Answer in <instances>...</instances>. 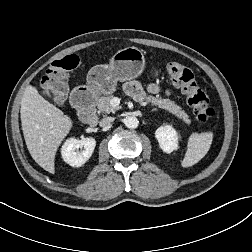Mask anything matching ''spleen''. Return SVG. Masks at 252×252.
<instances>
[{"mask_svg":"<svg viewBox=\"0 0 252 252\" xmlns=\"http://www.w3.org/2000/svg\"><path fill=\"white\" fill-rule=\"evenodd\" d=\"M213 140L212 132L192 133L188 139L182 167H191L198 163L209 151Z\"/></svg>","mask_w":252,"mask_h":252,"instance_id":"spleen-1","label":"spleen"}]
</instances>
